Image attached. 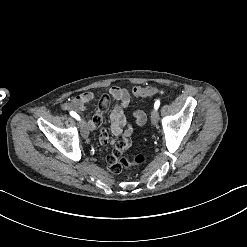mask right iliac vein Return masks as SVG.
I'll list each match as a JSON object with an SVG mask.
<instances>
[{
  "label": "right iliac vein",
  "instance_id": "right-iliac-vein-1",
  "mask_svg": "<svg viewBox=\"0 0 247 247\" xmlns=\"http://www.w3.org/2000/svg\"><path fill=\"white\" fill-rule=\"evenodd\" d=\"M81 135L83 138H87L89 136V127L85 120L81 123Z\"/></svg>",
  "mask_w": 247,
  "mask_h": 247
}]
</instances>
